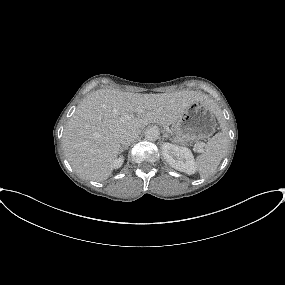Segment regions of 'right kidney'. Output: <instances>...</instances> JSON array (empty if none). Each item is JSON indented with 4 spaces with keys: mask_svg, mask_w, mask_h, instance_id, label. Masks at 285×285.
I'll return each instance as SVG.
<instances>
[{
    "mask_svg": "<svg viewBox=\"0 0 285 285\" xmlns=\"http://www.w3.org/2000/svg\"><path fill=\"white\" fill-rule=\"evenodd\" d=\"M123 162H124V158L123 157H120L119 159H116L114 164H113L114 168L121 167Z\"/></svg>",
    "mask_w": 285,
    "mask_h": 285,
    "instance_id": "obj_1",
    "label": "right kidney"
}]
</instances>
